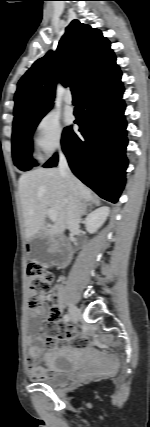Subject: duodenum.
Returning <instances> with one entry per match:
<instances>
[{"mask_svg":"<svg viewBox=\"0 0 150 427\" xmlns=\"http://www.w3.org/2000/svg\"><path fill=\"white\" fill-rule=\"evenodd\" d=\"M70 260V251L68 249L67 240L62 238L59 240L55 264L59 267H65Z\"/></svg>","mask_w":150,"mask_h":427,"instance_id":"duodenum-1","label":"duodenum"}]
</instances>
